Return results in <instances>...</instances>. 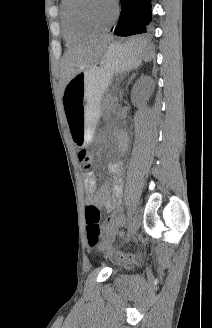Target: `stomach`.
Here are the masks:
<instances>
[{"label":"stomach","mask_w":212,"mask_h":328,"mask_svg":"<svg viewBox=\"0 0 212 328\" xmlns=\"http://www.w3.org/2000/svg\"><path fill=\"white\" fill-rule=\"evenodd\" d=\"M136 41L139 39H132L124 45L112 43L102 56L100 67L80 71L65 85L66 121L77 146H85L92 140L100 102L112 76L140 64L144 49L133 48Z\"/></svg>","instance_id":"1"}]
</instances>
